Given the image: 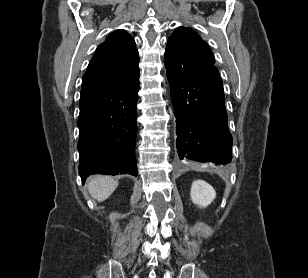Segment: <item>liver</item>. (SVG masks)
<instances>
[{"label":"liver","mask_w":308,"mask_h":278,"mask_svg":"<svg viewBox=\"0 0 308 278\" xmlns=\"http://www.w3.org/2000/svg\"><path fill=\"white\" fill-rule=\"evenodd\" d=\"M118 181L112 177L96 175L88 180V190L99 202L106 200L117 188Z\"/></svg>","instance_id":"obj_1"}]
</instances>
